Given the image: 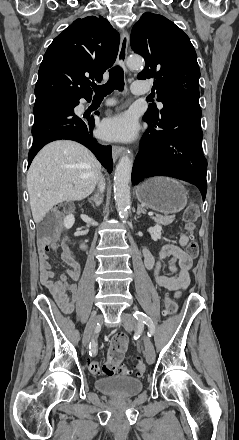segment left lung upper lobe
Returning a JSON list of instances; mask_svg holds the SVG:
<instances>
[{"instance_id": "left-lung-upper-lobe-1", "label": "left lung upper lobe", "mask_w": 239, "mask_h": 440, "mask_svg": "<svg viewBox=\"0 0 239 440\" xmlns=\"http://www.w3.org/2000/svg\"><path fill=\"white\" fill-rule=\"evenodd\" d=\"M130 43L146 62L137 78H154L153 90L164 107L180 100L199 102L197 55L178 26L162 15L144 13L132 29ZM161 110L150 107L145 116L157 120Z\"/></svg>"}]
</instances>
